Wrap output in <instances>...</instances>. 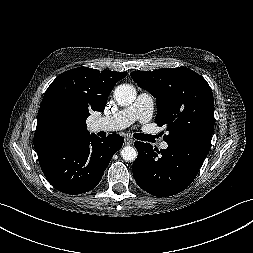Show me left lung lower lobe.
<instances>
[{
	"mask_svg": "<svg viewBox=\"0 0 253 253\" xmlns=\"http://www.w3.org/2000/svg\"><path fill=\"white\" fill-rule=\"evenodd\" d=\"M138 157L133 175L140 188L158 197L175 195L185 190L196 177L207 156L210 143L190 141L153 149L149 143L135 141Z\"/></svg>",
	"mask_w": 253,
	"mask_h": 253,
	"instance_id": "left-lung-lower-lobe-1",
	"label": "left lung lower lobe"
}]
</instances>
